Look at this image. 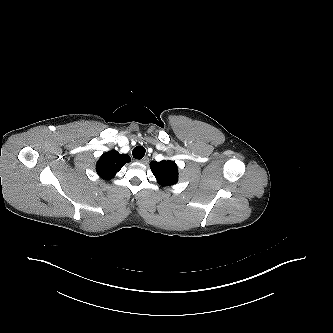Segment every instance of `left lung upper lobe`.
<instances>
[{
  "label": "left lung upper lobe",
  "instance_id": "obj_1",
  "mask_svg": "<svg viewBox=\"0 0 333 333\" xmlns=\"http://www.w3.org/2000/svg\"><path fill=\"white\" fill-rule=\"evenodd\" d=\"M150 168L158 183L161 185L169 186L177 183L178 168L174 162L170 160H162L160 162L152 161Z\"/></svg>",
  "mask_w": 333,
  "mask_h": 333
}]
</instances>
